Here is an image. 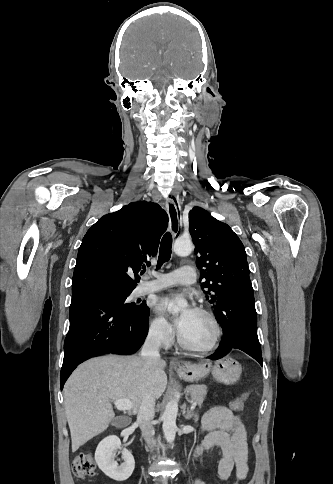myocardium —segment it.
<instances>
[{"label": "myocardium", "instance_id": "myocardium-1", "mask_svg": "<svg viewBox=\"0 0 333 484\" xmlns=\"http://www.w3.org/2000/svg\"><path fill=\"white\" fill-rule=\"evenodd\" d=\"M194 310L198 313L205 315L211 321V323L214 327V336H213L211 342L207 346H204V347H195V346L188 344L182 338L180 332L177 333V340H178L180 347L183 348L184 350L195 353V354H199V355H205V354L212 352L216 348V346L218 345L220 338L222 336V328H221L219 320L217 319V317L215 316V314L212 311H210V310H208L204 307H196Z\"/></svg>", "mask_w": 333, "mask_h": 484}]
</instances>
